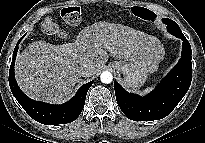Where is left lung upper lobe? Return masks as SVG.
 Wrapping results in <instances>:
<instances>
[{"instance_id":"1","label":"left lung upper lobe","mask_w":205,"mask_h":143,"mask_svg":"<svg viewBox=\"0 0 205 143\" xmlns=\"http://www.w3.org/2000/svg\"><path fill=\"white\" fill-rule=\"evenodd\" d=\"M163 21H164V23H166V24H172V22H174L173 20H171V19H163Z\"/></svg>"}]
</instances>
